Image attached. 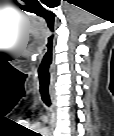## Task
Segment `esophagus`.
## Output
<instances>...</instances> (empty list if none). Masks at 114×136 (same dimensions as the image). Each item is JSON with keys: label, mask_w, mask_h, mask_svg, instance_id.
Returning a JSON list of instances; mask_svg holds the SVG:
<instances>
[{"label": "esophagus", "mask_w": 114, "mask_h": 136, "mask_svg": "<svg viewBox=\"0 0 114 136\" xmlns=\"http://www.w3.org/2000/svg\"><path fill=\"white\" fill-rule=\"evenodd\" d=\"M49 94H50V99H51V103H52V107H51V133H53L54 129L56 127V122H57V101H56L55 90L52 87L49 88Z\"/></svg>", "instance_id": "obj_1"}]
</instances>
